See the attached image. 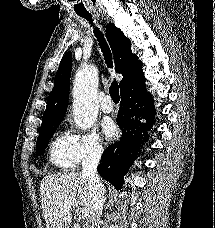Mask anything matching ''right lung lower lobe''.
Instances as JSON below:
<instances>
[{
    "mask_svg": "<svg viewBox=\"0 0 215 228\" xmlns=\"http://www.w3.org/2000/svg\"><path fill=\"white\" fill-rule=\"evenodd\" d=\"M144 83L143 74L130 78L124 84L117 119L122 138L104 151L101 163L97 167L99 174L117 189H121L124 175L137 158L141 140L148 141V138H143L142 132L151 128L154 122L153 100ZM141 118H146L148 123L141 125Z\"/></svg>",
    "mask_w": 215,
    "mask_h": 228,
    "instance_id": "right-lung-lower-lobe-1",
    "label": "right lung lower lobe"
}]
</instances>
